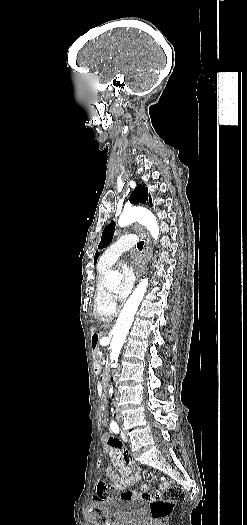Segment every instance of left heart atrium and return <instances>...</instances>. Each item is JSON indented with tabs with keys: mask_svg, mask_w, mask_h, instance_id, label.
I'll use <instances>...</instances> for the list:
<instances>
[{
	"mask_svg": "<svg viewBox=\"0 0 247 525\" xmlns=\"http://www.w3.org/2000/svg\"><path fill=\"white\" fill-rule=\"evenodd\" d=\"M129 258L132 262L133 268L122 272L123 283L118 291L120 299H124L131 291L135 281V273L142 271L146 266L145 255L142 253L135 251L131 252Z\"/></svg>",
	"mask_w": 247,
	"mask_h": 525,
	"instance_id": "left-heart-atrium-1",
	"label": "left heart atrium"
}]
</instances>
